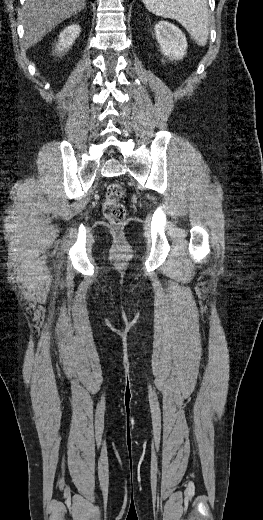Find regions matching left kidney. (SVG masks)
<instances>
[{"label":"left kidney","instance_id":"5707ae66","mask_svg":"<svg viewBox=\"0 0 263 520\" xmlns=\"http://www.w3.org/2000/svg\"><path fill=\"white\" fill-rule=\"evenodd\" d=\"M154 29L161 52L171 60L183 59L187 41L182 31L167 21H160Z\"/></svg>","mask_w":263,"mask_h":520}]
</instances>
